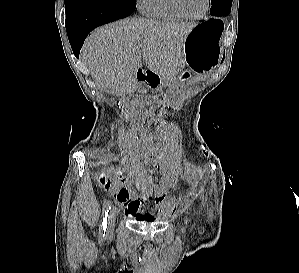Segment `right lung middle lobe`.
Returning <instances> with one entry per match:
<instances>
[{"label":"right lung middle lobe","mask_w":299,"mask_h":273,"mask_svg":"<svg viewBox=\"0 0 299 273\" xmlns=\"http://www.w3.org/2000/svg\"><path fill=\"white\" fill-rule=\"evenodd\" d=\"M67 0H65L66 2ZM120 1H129V2H136V0H120Z\"/></svg>","instance_id":"dd1d6c3e"}]
</instances>
